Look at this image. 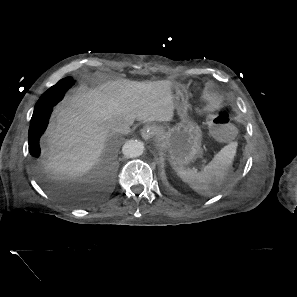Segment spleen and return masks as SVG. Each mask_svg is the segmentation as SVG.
<instances>
[{"label":"spleen","instance_id":"obj_1","mask_svg":"<svg viewBox=\"0 0 297 297\" xmlns=\"http://www.w3.org/2000/svg\"><path fill=\"white\" fill-rule=\"evenodd\" d=\"M237 148V142L224 146L203 170L174 167L177 175L194 191L201 195H210L224 184L232 165Z\"/></svg>","mask_w":297,"mask_h":297}]
</instances>
